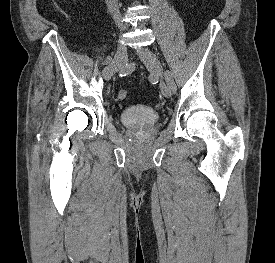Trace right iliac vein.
Here are the masks:
<instances>
[{
  "mask_svg": "<svg viewBox=\"0 0 275 263\" xmlns=\"http://www.w3.org/2000/svg\"><path fill=\"white\" fill-rule=\"evenodd\" d=\"M127 58V47L124 44H119L114 54L112 62L103 71V77L105 80L111 79L114 73L120 68L123 62Z\"/></svg>",
  "mask_w": 275,
  "mask_h": 263,
  "instance_id": "63e3f726",
  "label": "right iliac vein"
}]
</instances>
